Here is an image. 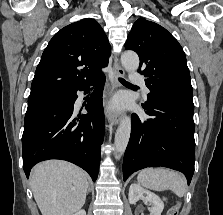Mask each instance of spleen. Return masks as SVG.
Instances as JSON below:
<instances>
[{"label": "spleen", "mask_w": 223, "mask_h": 215, "mask_svg": "<svg viewBox=\"0 0 223 215\" xmlns=\"http://www.w3.org/2000/svg\"><path fill=\"white\" fill-rule=\"evenodd\" d=\"M138 183L149 189H172L178 197H182L186 191V181L178 171H170L163 167H146L138 173Z\"/></svg>", "instance_id": "3e777b00"}]
</instances>
